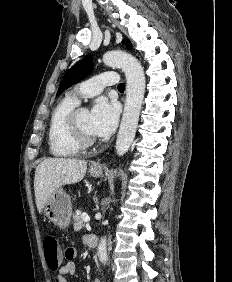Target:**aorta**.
Listing matches in <instances>:
<instances>
[{
	"label": "aorta",
	"instance_id": "obj_1",
	"mask_svg": "<svg viewBox=\"0 0 232 282\" xmlns=\"http://www.w3.org/2000/svg\"><path fill=\"white\" fill-rule=\"evenodd\" d=\"M103 62L110 67L121 68L126 76V99L115 145L116 153L122 156L129 150L136 134L145 92L144 71L139 61L125 51H108L103 56ZM97 255L101 263H107L106 237L101 238Z\"/></svg>",
	"mask_w": 232,
	"mask_h": 282
}]
</instances>
